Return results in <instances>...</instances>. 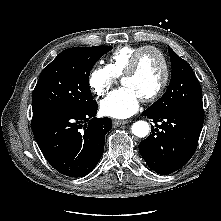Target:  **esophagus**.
<instances>
[{"mask_svg": "<svg viewBox=\"0 0 221 221\" xmlns=\"http://www.w3.org/2000/svg\"><path fill=\"white\" fill-rule=\"evenodd\" d=\"M127 123H129V120H114L113 121L114 126L125 125Z\"/></svg>", "mask_w": 221, "mask_h": 221, "instance_id": "34e87169", "label": "esophagus"}]
</instances>
